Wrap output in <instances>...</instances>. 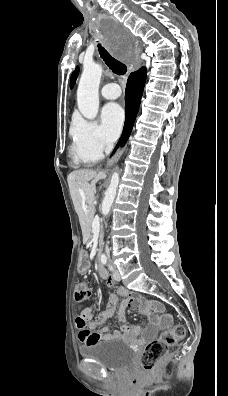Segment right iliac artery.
<instances>
[{"label": "right iliac artery", "instance_id": "1", "mask_svg": "<svg viewBox=\"0 0 228 396\" xmlns=\"http://www.w3.org/2000/svg\"><path fill=\"white\" fill-rule=\"evenodd\" d=\"M101 262H102V264H104V265L107 263V257H106V255L103 254V255L101 256Z\"/></svg>", "mask_w": 228, "mask_h": 396}]
</instances>
